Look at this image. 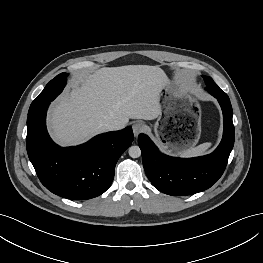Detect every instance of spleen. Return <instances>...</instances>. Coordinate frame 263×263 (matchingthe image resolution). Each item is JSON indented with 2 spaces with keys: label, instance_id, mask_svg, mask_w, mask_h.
<instances>
[{
  "label": "spleen",
  "instance_id": "obj_1",
  "mask_svg": "<svg viewBox=\"0 0 263 263\" xmlns=\"http://www.w3.org/2000/svg\"><path fill=\"white\" fill-rule=\"evenodd\" d=\"M212 144L210 142L190 148L180 154V157L189 158L204 155Z\"/></svg>",
  "mask_w": 263,
  "mask_h": 263
}]
</instances>
